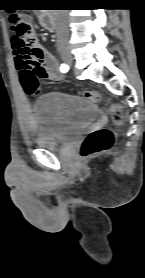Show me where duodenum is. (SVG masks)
I'll return each instance as SVG.
<instances>
[{"instance_id":"410a0bca","label":"duodenum","mask_w":145,"mask_h":278,"mask_svg":"<svg viewBox=\"0 0 145 278\" xmlns=\"http://www.w3.org/2000/svg\"><path fill=\"white\" fill-rule=\"evenodd\" d=\"M39 21L44 25L49 31L53 32L56 29V24L50 15L44 14L40 16Z\"/></svg>"}]
</instances>
